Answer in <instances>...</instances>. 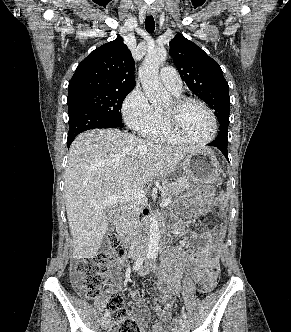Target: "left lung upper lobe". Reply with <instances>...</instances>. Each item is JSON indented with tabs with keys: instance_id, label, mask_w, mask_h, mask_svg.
I'll return each mask as SVG.
<instances>
[{
	"instance_id": "obj_1",
	"label": "left lung upper lobe",
	"mask_w": 291,
	"mask_h": 332,
	"mask_svg": "<svg viewBox=\"0 0 291 332\" xmlns=\"http://www.w3.org/2000/svg\"><path fill=\"white\" fill-rule=\"evenodd\" d=\"M169 45V53L182 79L194 94L214 110L220 127L228 131L229 86L219 64L180 33Z\"/></svg>"
}]
</instances>
